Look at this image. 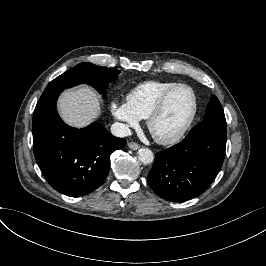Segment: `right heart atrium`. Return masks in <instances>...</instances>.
I'll return each mask as SVG.
<instances>
[{
  "instance_id": "right-heart-atrium-1",
  "label": "right heart atrium",
  "mask_w": 266,
  "mask_h": 266,
  "mask_svg": "<svg viewBox=\"0 0 266 266\" xmlns=\"http://www.w3.org/2000/svg\"><path fill=\"white\" fill-rule=\"evenodd\" d=\"M112 115L127 126H135L139 123V117L135 114L128 102L112 100L110 103Z\"/></svg>"
}]
</instances>
